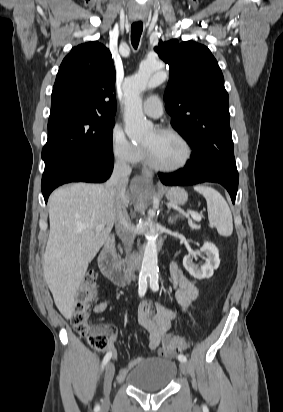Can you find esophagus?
Instances as JSON below:
<instances>
[{"label":"esophagus","mask_w":283,"mask_h":412,"mask_svg":"<svg viewBox=\"0 0 283 412\" xmlns=\"http://www.w3.org/2000/svg\"><path fill=\"white\" fill-rule=\"evenodd\" d=\"M145 176L147 177V178H149V179H151L152 178V175H151V173H145Z\"/></svg>","instance_id":"1"}]
</instances>
